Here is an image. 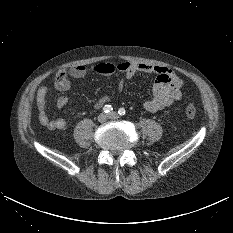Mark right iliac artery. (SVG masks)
<instances>
[{"label":"right iliac artery","mask_w":233,"mask_h":233,"mask_svg":"<svg viewBox=\"0 0 233 233\" xmlns=\"http://www.w3.org/2000/svg\"><path fill=\"white\" fill-rule=\"evenodd\" d=\"M112 110H113V108H112L111 105H105V106L103 107V111H104L105 113H109V112H111Z\"/></svg>","instance_id":"right-iliac-artery-1"}]
</instances>
